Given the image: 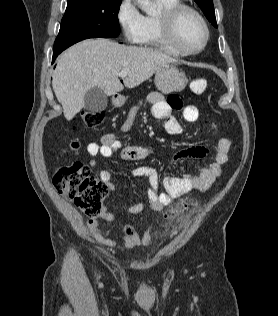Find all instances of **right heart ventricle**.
Here are the masks:
<instances>
[{"mask_svg": "<svg viewBox=\"0 0 278 316\" xmlns=\"http://www.w3.org/2000/svg\"><path fill=\"white\" fill-rule=\"evenodd\" d=\"M161 12L157 15L143 16L142 32L137 42L140 45L154 47L174 56H184L166 37L161 22L162 13L180 3V0H157Z\"/></svg>", "mask_w": 278, "mask_h": 316, "instance_id": "1", "label": "right heart ventricle"}]
</instances>
